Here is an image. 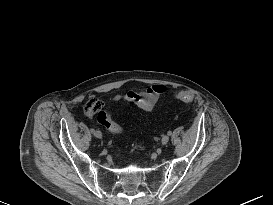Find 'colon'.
Masks as SVG:
<instances>
[{"mask_svg": "<svg viewBox=\"0 0 273 205\" xmlns=\"http://www.w3.org/2000/svg\"><path fill=\"white\" fill-rule=\"evenodd\" d=\"M175 97L185 103H190L193 100V95L187 91H179L175 93ZM102 104L96 97H90L84 104V112L89 116H97L100 124L106 127L113 134H121L123 128L112 118L109 111H102Z\"/></svg>", "mask_w": 273, "mask_h": 205, "instance_id": "colon-1", "label": "colon"}]
</instances>
